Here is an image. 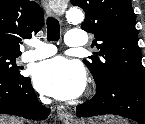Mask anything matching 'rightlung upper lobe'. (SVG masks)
<instances>
[{
	"instance_id": "obj_1",
	"label": "right lung upper lobe",
	"mask_w": 145,
	"mask_h": 124,
	"mask_svg": "<svg viewBox=\"0 0 145 124\" xmlns=\"http://www.w3.org/2000/svg\"><path fill=\"white\" fill-rule=\"evenodd\" d=\"M43 25V11L35 1L0 0V51L21 55V38H30Z\"/></svg>"
}]
</instances>
